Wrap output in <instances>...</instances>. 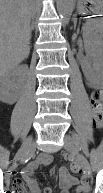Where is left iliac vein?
Wrapping results in <instances>:
<instances>
[{"instance_id":"1","label":"left iliac vein","mask_w":103,"mask_h":193,"mask_svg":"<svg viewBox=\"0 0 103 193\" xmlns=\"http://www.w3.org/2000/svg\"><path fill=\"white\" fill-rule=\"evenodd\" d=\"M64 148L67 151H69L71 153H74L76 155V157L80 160L83 169L86 171V173L88 175H90L91 174L90 164L87 161V159L84 157V155L77 150L75 140L72 136L65 135V137H64Z\"/></svg>"}]
</instances>
